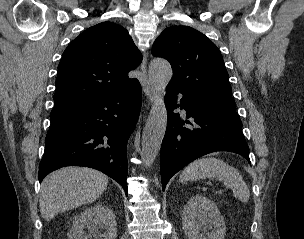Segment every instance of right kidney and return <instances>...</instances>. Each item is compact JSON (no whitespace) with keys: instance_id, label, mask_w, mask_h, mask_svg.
Returning <instances> with one entry per match:
<instances>
[{"instance_id":"1","label":"right kidney","mask_w":304,"mask_h":239,"mask_svg":"<svg viewBox=\"0 0 304 239\" xmlns=\"http://www.w3.org/2000/svg\"><path fill=\"white\" fill-rule=\"evenodd\" d=\"M87 226L88 232H84ZM102 231H105L102 233ZM116 220L105 205L97 204L76 215L70 231V239H116Z\"/></svg>"}]
</instances>
